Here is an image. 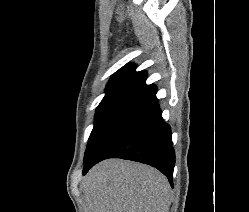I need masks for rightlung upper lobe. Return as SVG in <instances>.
Returning <instances> with one entry per match:
<instances>
[{"label":"right lung upper lobe","mask_w":249,"mask_h":212,"mask_svg":"<svg viewBox=\"0 0 249 212\" xmlns=\"http://www.w3.org/2000/svg\"><path fill=\"white\" fill-rule=\"evenodd\" d=\"M147 72L136 71V65L129 63L118 70L109 80L105 96L124 94L141 97L157 90L155 85H147Z\"/></svg>","instance_id":"right-lung-upper-lobe-1"}]
</instances>
